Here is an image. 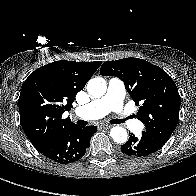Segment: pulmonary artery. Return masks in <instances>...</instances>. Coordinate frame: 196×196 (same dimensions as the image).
Segmentation results:
<instances>
[{"label": "pulmonary artery", "mask_w": 196, "mask_h": 196, "mask_svg": "<svg viewBox=\"0 0 196 196\" xmlns=\"http://www.w3.org/2000/svg\"><path fill=\"white\" fill-rule=\"evenodd\" d=\"M125 85L118 78H111L108 82L106 93L87 105L78 107L75 114L85 120H94L115 112L123 124L131 130H138L139 123L126 113L124 109Z\"/></svg>", "instance_id": "1"}]
</instances>
